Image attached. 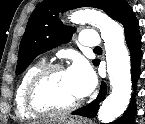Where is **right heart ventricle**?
Instances as JSON below:
<instances>
[{"mask_svg":"<svg viewBox=\"0 0 145 124\" xmlns=\"http://www.w3.org/2000/svg\"><path fill=\"white\" fill-rule=\"evenodd\" d=\"M45 65L43 61H40L31 67H29L23 76L21 77L19 84L16 88L15 92V105H16V113L21 118H30L35 117V114L30 113L25 106V91L28 83L34 74Z\"/></svg>","mask_w":145,"mask_h":124,"instance_id":"e07e8e85","label":"right heart ventricle"}]
</instances>
